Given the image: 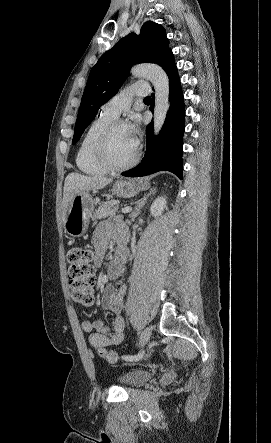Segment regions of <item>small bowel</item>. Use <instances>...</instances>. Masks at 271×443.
I'll use <instances>...</instances> for the list:
<instances>
[{
	"instance_id": "c3829d8e",
	"label": "small bowel",
	"mask_w": 271,
	"mask_h": 443,
	"mask_svg": "<svg viewBox=\"0 0 271 443\" xmlns=\"http://www.w3.org/2000/svg\"><path fill=\"white\" fill-rule=\"evenodd\" d=\"M118 238V234L110 226L103 224L94 233L92 244L94 248V263L99 266L102 264L110 238ZM126 260V252L124 249L117 251L116 258L110 263L108 272L112 278L118 277L123 269ZM125 295V286L117 287L109 286L102 295L103 311L113 313V322L111 326L104 323L102 318L95 321L83 319L81 327L83 331L88 333L89 344L97 349L102 350L109 345L119 344L125 333V320L122 315V307Z\"/></svg>"
}]
</instances>
